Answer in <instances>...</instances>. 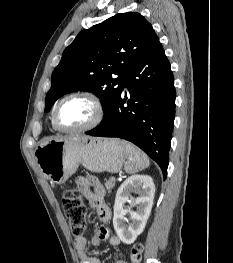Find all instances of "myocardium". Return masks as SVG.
I'll return each mask as SVG.
<instances>
[{
    "label": "myocardium",
    "instance_id": "1",
    "mask_svg": "<svg viewBox=\"0 0 233 263\" xmlns=\"http://www.w3.org/2000/svg\"><path fill=\"white\" fill-rule=\"evenodd\" d=\"M71 98L87 99L93 105V107L95 109L94 117L92 118V120L88 124H86L85 126L77 128V129L64 128L60 125V123L58 121V112H59L60 106L65 101H67ZM103 117H104V106H103L101 100L99 99V97H97L95 94H93L91 92H73V93H70V94L66 95L65 97H63L56 104L54 111H53V115H52V122H53V125L55 126V128L57 130L64 132V133L75 134V133L86 132V131H89V130L97 127L100 124V122L102 121Z\"/></svg>",
    "mask_w": 233,
    "mask_h": 263
}]
</instances>
